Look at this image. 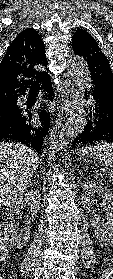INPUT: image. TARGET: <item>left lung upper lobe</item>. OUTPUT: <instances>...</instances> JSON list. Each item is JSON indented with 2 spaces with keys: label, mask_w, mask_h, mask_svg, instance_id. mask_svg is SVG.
<instances>
[{
  "label": "left lung upper lobe",
  "mask_w": 113,
  "mask_h": 279,
  "mask_svg": "<svg viewBox=\"0 0 113 279\" xmlns=\"http://www.w3.org/2000/svg\"><path fill=\"white\" fill-rule=\"evenodd\" d=\"M75 54L85 58L91 72L93 82L105 83L113 87V73L109 61L100 50L96 40L85 30H78L72 37Z\"/></svg>",
  "instance_id": "1"
}]
</instances>
